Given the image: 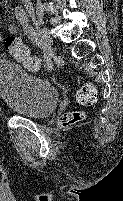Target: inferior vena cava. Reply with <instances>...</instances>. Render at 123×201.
I'll return each mask as SVG.
<instances>
[{
  "label": "inferior vena cava",
  "mask_w": 123,
  "mask_h": 201,
  "mask_svg": "<svg viewBox=\"0 0 123 201\" xmlns=\"http://www.w3.org/2000/svg\"><path fill=\"white\" fill-rule=\"evenodd\" d=\"M22 2L25 3V5L30 6L31 7V0H22Z\"/></svg>",
  "instance_id": "inferior-vena-cava-1"
}]
</instances>
